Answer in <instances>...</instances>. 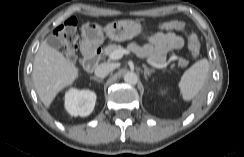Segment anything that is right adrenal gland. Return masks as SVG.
Here are the masks:
<instances>
[{
	"label": "right adrenal gland",
	"mask_w": 244,
	"mask_h": 157,
	"mask_svg": "<svg viewBox=\"0 0 244 157\" xmlns=\"http://www.w3.org/2000/svg\"><path fill=\"white\" fill-rule=\"evenodd\" d=\"M91 79L95 80L98 83L103 81V79H100V78H97V77H91Z\"/></svg>",
	"instance_id": "2a0ac1e0"
}]
</instances>
